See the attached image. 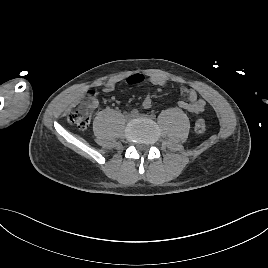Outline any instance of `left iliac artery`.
<instances>
[{
  "label": "left iliac artery",
  "mask_w": 268,
  "mask_h": 268,
  "mask_svg": "<svg viewBox=\"0 0 268 268\" xmlns=\"http://www.w3.org/2000/svg\"><path fill=\"white\" fill-rule=\"evenodd\" d=\"M155 117H156V116H155L154 114H151V115H150V118H151V119H155Z\"/></svg>",
  "instance_id": "44dca946"
}]
</instances>
